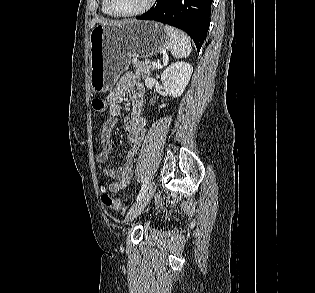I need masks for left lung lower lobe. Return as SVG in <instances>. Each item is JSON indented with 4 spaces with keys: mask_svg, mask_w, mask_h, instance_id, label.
I'll list each match as a JSON object with an SVG mask.
<instances>
[{
    "mask_svg": "<svg viewBox=\"0 0 315 293\" xmlns=\"http://www.w3.org/2000/svg\"><path fill=\"white\" fill-rule=\"evenodd\" d=\"M213 0H157L148 12L137 17L155 20L185 31L200 50L209 28L210 4Z\"/></svg>",
    "mask_w": 315,
    "mask_h": 293,
    "instance_id": "0a47b994",
    "label": "left lung lower lobe"
}]
</instances>
